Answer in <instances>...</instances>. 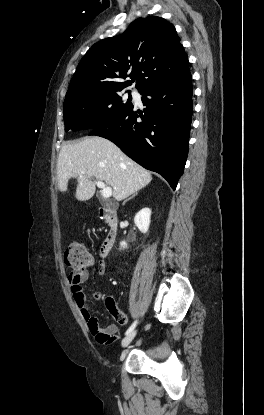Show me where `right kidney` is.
<instances>
[{
	"label": "right kidney",
	"instance_id": "1",
	"mask_svg": "<svg viewBox=\"0 0 264 415\" xmlns=\"http://www.w3.org/2000/svg\"><path fill=\"white\" fill-rule=\"evenodd\" d=\"M150 216H151V210L149 208H143L140 210L134 218V223L138 227V229L142 233H147L150 225ZM121 248H126L127 243L125 241H122L120 243Z\"/></svg>",
	"mask_w": 264,
	"mask_h": 415
}]
</instances>
